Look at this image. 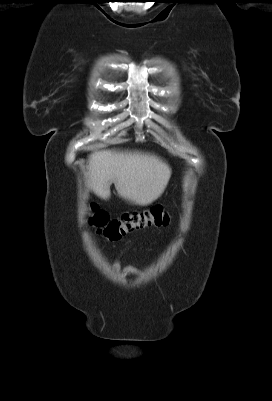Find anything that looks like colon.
Here are the masks:
<instances>
[{"label":"colon","mask_w":272,"mask_h":401,"mask_svg":"<svg viewBox=\"0 0 272 401\" xmlns=\"http://www.w3.org/2000/svg\"><path fill=\"white\" fill-rule=\"evenodd\" d=\"M91 210L93 213L90 224L96 229L97 234L111 241L119 240L129 233L147 227H164L170 222L169 214L160 206L125 212L119 217H110L96 205H92Z\"/></svg>","instance_id":"1"}]
</instances>
